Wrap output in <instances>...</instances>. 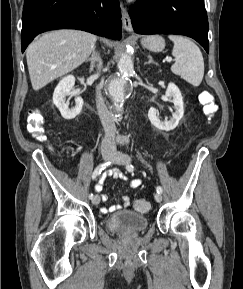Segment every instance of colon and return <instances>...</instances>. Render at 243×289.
Here are the masks:
<instances>
[{
    "label": "colon",
    "instance_id": "obj_1",
    "mask_svg": "<svg viewBox=\"0 0 243 289\" xmlns=\"http://www.w3.org/2000/svg\"><path fill=\"white\" fill-rule=\"evenodd\" d=\"M200 103L203 106V111L208 118H212L217 112V105L214 101V96L208 91H204L199 95ZM28 132L35 138L44 139L45 127L44 118L39 110H33L28 115ZM151 208L150 202L144 199H139L134 202V209L138 212L145 213Z\"/></svg>",
    "mask_w": 243,
    "mask_h": 289
}]
</instances>
